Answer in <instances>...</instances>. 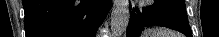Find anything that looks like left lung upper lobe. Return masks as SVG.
Returning <instances> with one entry per match:
<instances>
[{
  "instance_id": "5c2ea615",
  "label": "left lung upper lobe",
  "mask_w": 219,
  "mask_h": 37,
  "mask_svg": "<svg viewBox=\"0 0 219 37\" xmlns=\"http://www.w3.org/2000/svg\"><path fill=\"white\" fill-rule=\"evenodd\" d=\"M155 3L173 10L182 20L188 22L184 0H155Z\"/></svg>"
}]
</instances>
